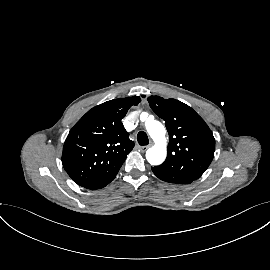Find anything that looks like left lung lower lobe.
Returning a JSON list of instances; mask_svg holds the SVG:
<instances>
[{"instance_id": "0a47b994", "label": "left lung lower lobe", "mask_w": 270, "mask_h": 270, "mask_svg": "<svg viewBox=\"0 0 270 270\" xmlns=\"http://www.w3.org/2000/svg\"><path fill=\"white\" fill-rule=\"evenodd\" d=\"M153 173L161 180L174 184H190L193 182L190 178L178 173L161 170L157 167H152Z\"/></svg>"}]
</instances>
